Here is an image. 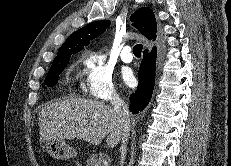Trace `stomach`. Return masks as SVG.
I'll return each mask as SVG.
<instances>
[{
    "instance_id": "0dacf381",
    "label": "stomach",
    "mask_w": 231,
    "mask_h": 166,
    "mask_svg": "<svg viewBox=\"0 0 231 166\" xmlns=\"http://www.w3.org/2000/svg\"><path fill=\"white\" fill-rule=\"evenodd\" d=\"M49 154L58 160H67L75 156V150L63 139L49 140L46 142Z\"/></svg>"
}]
</instances>
